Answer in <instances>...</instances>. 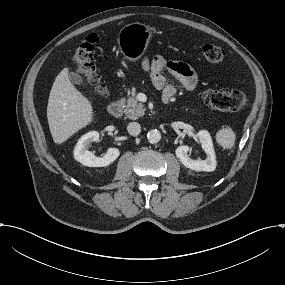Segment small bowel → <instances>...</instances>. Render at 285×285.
I'll use <instances>...</instances> for the list:
<instances>
[{"label": "small bowel", "instance_id": "obj_1", "mask_svg": "<svg viewBox=\"0 0 285 285\" xmlns=\"http://www.w3.org/2000/svg\"><path fill=\"white\" fill-rule=\"evenodd\" d=\"M144 68L153 85L162 90V96L166 102L175 96L177 83L188 91L194 90L198 85V76L188 64L168 61L161 55H155L152 59L146 60ZM164 71H167L174 81H168L163 75Z\"/></svg>", "mask_w": 285, "mask_h": 285}]
</instances>
